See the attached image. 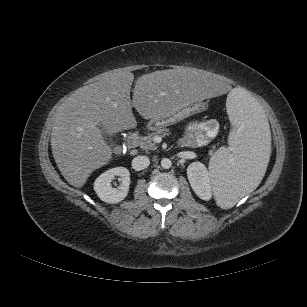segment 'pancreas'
<instances>
[{
    "label": "pancreas",
    "instance_id": "obj_1",
    "mask_svg": "<svg viewBox=\"0 0 307 307\" xmlns=\"http://www.w3.org/2000/svg\"><path fill=\"white\" fill-rule=\"evenodd\" d=\"M169 134V129L166 128H161L157 129L152 133H148L147 136H140L138 137V141L136 143L137 146H140L141 149L143 150H156L157 145L154 142V138L157 135H168Z\"/></svg>",
    "mask_w": 307,
    "mask_h": 307
}]
</instances>
